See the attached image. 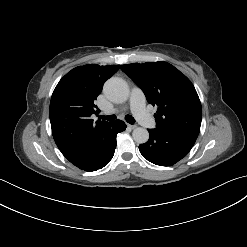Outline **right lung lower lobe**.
Returning <instances> with one entry per match:
<instances>
[{
	"label": "right lung lower lobe",
	"instance_id": "98d812e1",
	"mask_svg": "<svg viewBox=\"0 0 247 247\" xmlns=\"http://www.w3.org/2000/svg\"><path fill=\"white\" fill-rule=\"evenodd\" d=\"M126 129L121 120L96 127L84 138L77 152L66 157L73 165L88 172L106 166L114 155L116 136Z\"/></svg>",
	"mask_w": 247,
	"mask_h": 247
}]
</instances>
